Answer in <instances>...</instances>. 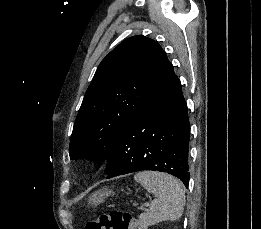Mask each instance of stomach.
I'll list each match as a JSON object with an SVG mask.
<instances>
[{
  "label": "stomach",
  "instance_id": "obj_1",
  "mask_svg": "<svg viewBox=\"0 0 261 229\" xmlns=\"http://www.w3.org/2000/svg\"><path fill=\"white\" fill-rule=\"evenodd\" d=\"M111 193L112 191H110V189H100V191H95V193L91 195V201H93V203H103Z\"/></svg>",
  "mask_w": 261,
  "mask_h": 229
}]
</instances>
